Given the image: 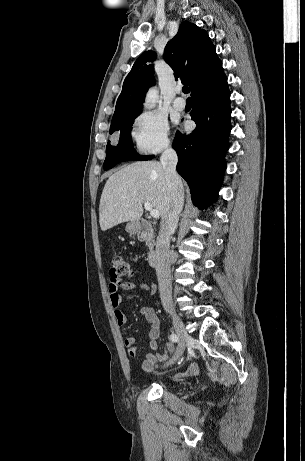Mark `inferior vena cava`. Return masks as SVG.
Returning <instances> with one entry per match:
<instances>
[{"mask_svg":"<svg viewBox=\"0 0 305 461\" xmlns=\"http://www.w3.org/2000/svg\"><path fill=\"white\" fill-rule=\"evenodd\" d=\"M165 171V178L169 188V204L160 223V231L156 241L155 259L156 274L159 285L161 302L164 308L172 306V287L170 275V236L175 232L179 215L183 209L184 193L182 182L176 172L178 157L174 149L167 147L160 158Z\"/></svg>","mask_w":305,"mask_h":461,"instance_id":"1","label":"inferior vena cava"}]
</instances>
